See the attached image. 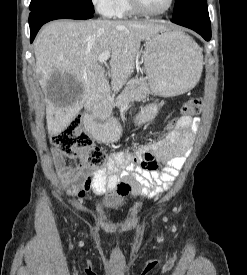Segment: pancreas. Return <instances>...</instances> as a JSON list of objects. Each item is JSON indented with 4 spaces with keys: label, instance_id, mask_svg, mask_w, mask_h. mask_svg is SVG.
Masks as SVG:
<instances>
[{
    "label": "pancreas",
    "instance_id": "obj_1",
    "mask_svg": "<svg viewBox=\"0 0 247 275\" xmlns=\"http://www.w3.org/2000/svg\"><path fill=\"white\" fill-rule=\"evenodd\" d=\"M150 94V88L143 77L130 80L122 93L116 98V104L126 105L130 102L144 99Z\"/></svg>",
    "mask_w": 247,
    "mask_h": 275
}]
</instances>
